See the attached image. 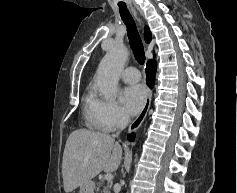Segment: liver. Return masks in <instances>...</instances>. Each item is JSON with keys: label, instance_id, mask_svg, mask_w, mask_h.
I'll list each match as a JSON object with an SVG mask.
<instances>
[{"label": "liver", "instance_id": "liver-1", "mask_svg": "<svg viewBox=\"0 0 237 193\" xmlns=\"http://www.w3.org/2000/svg\"><path fill=\"white\" fill-rule=\"evenodd\" d=\"M121 160L122 148L114 137L86 129L73 131L63 153L64 191L72 192L101 171H116Z\"/></svg>", "mask_w": 237, "mask_h": 193}]
</instances>
